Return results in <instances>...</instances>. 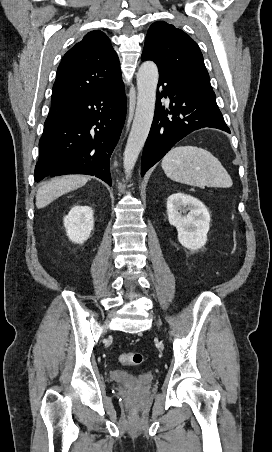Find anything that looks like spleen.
<instances>
[{
	"mask_svg": "<svg viewBox=\"0 0 272 452\" xmlns=\"http://www.w3.org/2000/svg\"><path fill=\"white\" fill-rule=\"evenodd\" d=\"M165 174L190 186L229 188L232 179L221 162L209 151L195 146L171 149L162 159Z\"/></svg>",
	"mask_w": 272,
	"mask_h": 452,
	"instance_id": "3e777b00",
	"label": "spleen"
}]
</instances>
